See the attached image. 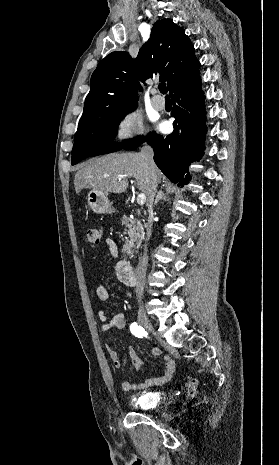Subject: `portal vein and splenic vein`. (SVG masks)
<instances>
[{
  "label": "portal vein and splenic vein",
  "mask_w": 279,
  "mask_h": 465,
  "mask_svg": "<svg viewBox=\"0 0 279 465\" xmlns=\"http://www.w3.org/2000/svg\"><path fill=\"white\" fill-rule=\"evenodd\" d=\"M118 179L119 180L127 179V176H119ZM145 202H146V195L144 193L139 194L138 197H137L138 205L143 206L145 204Z\"/></svg>",
  "instance_id": "18ae733b"
}]
</instances>
